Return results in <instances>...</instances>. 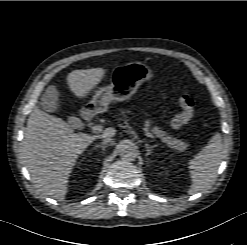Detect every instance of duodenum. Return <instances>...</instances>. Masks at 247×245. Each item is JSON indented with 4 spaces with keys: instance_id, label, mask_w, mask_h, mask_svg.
<instances>
[{
    "instance_id": "obj_1",
    "label": "duodenum",
    "mask_w": 247,
    "mask_h": 245,
    "mask_svg": "<svg viewBox=\"0 0 247 245\" xmlns=\"http://www.w3.org/2000/svg\"><path fill=\"white\" fill-rule=\"evenodd\" d=\"M82 118L85 122H90L93 118V111L91 109H86L82 112Z\"/></svg>"
}]
</instances>
